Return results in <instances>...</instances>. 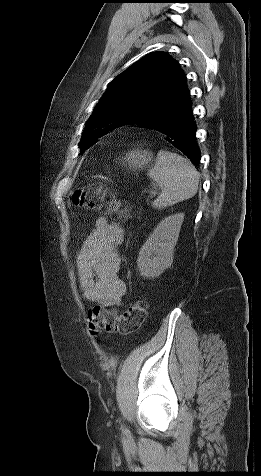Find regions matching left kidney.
Returning a JSON list of instances; mask_svg holds the SVG:
<instances>
[{
  "mask_svg": "<svg viewBox=\"0 0 261 476\" xmlns=\"http://www.w3.org/2000/svg\"><path fill=\"white\" fill-rule=\"evenodd\" d=\"M183 213H176L163 219L150 234L139 251L137 265L140 275L145 278H157L173 263Z\"/></svg>",
  "mask_w": 261,
  "mask_h": 476,
  "instance_id": "left-kidney-1",
  "label": "left kidney"
}]
</instances>
